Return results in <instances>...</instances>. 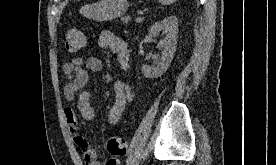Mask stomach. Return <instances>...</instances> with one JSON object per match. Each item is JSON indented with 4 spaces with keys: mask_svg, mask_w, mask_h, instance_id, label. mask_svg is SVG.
<instances>
[{
    "mask_svg": "<svg viewBox=\"0 0 276 165\" xmlns=\"http://www.w3.org/2000/svg\"><path fill=\"white\" fill-rule=\"evenodd\" d=\"M127 0H100L82 6L80 13L95 21H109L121 17L128 8Z\"/></svg>",
    "mask_w": 276,
    "mask_h": 165,
    "instance_id": "stomach-1",
    "label": "stomach"
}]
</instances>
